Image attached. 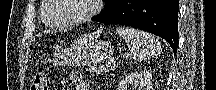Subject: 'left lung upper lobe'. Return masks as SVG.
I'll return each instance as SVG.
<instances>
[{
  "mask_svg": "<svg viewBox=\"0 0 216 90\" xmlns=\"http://www.w3.org/2000/svg\"><path fill=\"white\" fill-rule=\"evenodd\" d=\"M119 2H120V0H105L106 7H105V9H104L103 11L112 9V8L115 7ZM103 11H102V12H103Z\"/></svg>",
  "mask_w": 216,
  "mask_h": 90,
  "instance_id": "5c2ea615",
  "label": "left lung upper lobe"
}]
</instances>
